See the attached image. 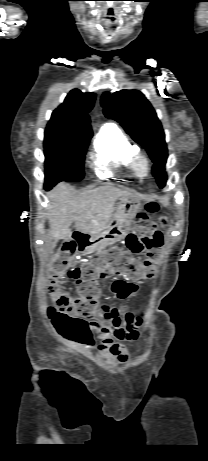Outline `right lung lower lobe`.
<instances>
[{"label": "right lung lower lobe", "mask_w": 208, "mask_h": 461, "mask_svg": "<svg viewBox=\"0 0 208 461\" xmlns=\"http://www.w3.org/2000/svg\"><path fill=\"white\" fill-rule=\"evenodd\" d=\"M55 185H56V184H55ZM55 185L45 186V189H46V190H50V189H51L53 186H55Z\"/></svg>", "instance_id": "1"}]
</instances>
